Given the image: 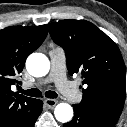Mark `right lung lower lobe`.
<instances>
[{
	"mask_svg": "<svg viewBox=\"0 0 127 127\" xmlns=\"http://www.w3.org/2000/svg\"><path fill=\"white\" fill-rule=\"evenodd\" d=\"M42 101L39 100V99H36V111H35V114L34 116L32 117V119L29 121V123L24 126V127H34V124L38 118V116L40 115L41 111H42Z\"/></svg>",
	"mask_w": 127,
	"mask_h": 127,
	"instance_id": "98d812e1",
	"label": "right lung lower lobe"
}]
</instances>
